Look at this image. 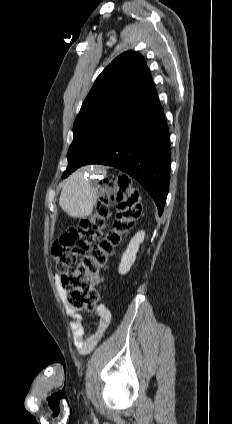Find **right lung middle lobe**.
<instances>
[{"label": "right lung middle lobe", "instance_id": "obj_1", "mask_svg": "<svg viewBox=\"0 0 232 424\" xmlns=\"http://www.w3.org/2000/svg\"><path fill=\"white\" fill-rule=\"evenodd\" d=\"M132 106L107 104L79 113L73 126V142L68 151L67 177L82 165L90 153L116 128L129 121Z\"/></svg>", "mask_w": 232, "mask_h": 424}]
</instances>
